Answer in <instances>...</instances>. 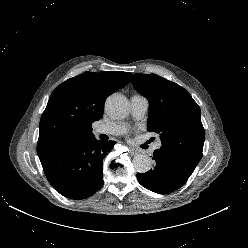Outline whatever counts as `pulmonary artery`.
Listing matches in <instances>:
<instances>
[{
	"instance_id": "obj_1",
	"label": "pulmonary artery",
	"mask_w": 248,
	"mask_h": 248,
	"mask_svg": "<svg viewBox=\"0 0 248 248\" xmlns=\"http://www.w3.org/2000/svg\"><path fill=\"white\" fill-rule=\"evenodd\" d=\"M131 113L135 120H141L145 117L148 108H149V102L147 98L140 96V95H134L131 97ZM126 131V125L124 123H106L99 125L94 129L95 135L100 134H106V135H120ZM160 147V144L157 143L154 146V149H158Z\"/></svg>"
}]
</instances>
